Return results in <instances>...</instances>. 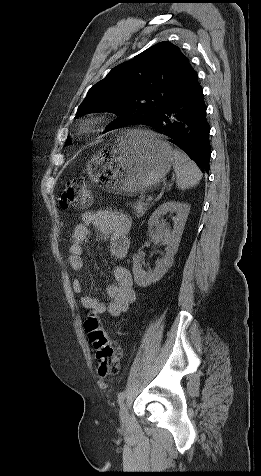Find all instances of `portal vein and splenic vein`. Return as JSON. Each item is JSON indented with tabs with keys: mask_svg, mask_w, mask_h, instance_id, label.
I'll list each match as a JSON object with an SVG mask.
<instances>
[{
	"mask_svg": "<svg viewBox=\"0 0 261 476\" xmlns=\"http://www.w3.org/2000/svg\"><path fill=\"white\" fill-rule=\"evenodd\" d=\"M146 200L149 201V202L152 201V200H153V196H152V195H148Z\"/></svg>",
	"mask_w": 261,
	"mask_h": 476,
	"instance_id": "portal-vein-and-splenic-vein-1",
	"label": "portal vein and splenic vein"
}]
</instances>
